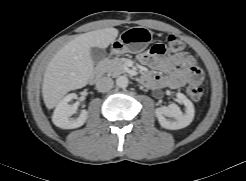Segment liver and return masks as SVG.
<instances>
[{"mask_svg": "<svg viewBox=\"0 0 246 181\" xmlns=\"http://www.w3.org/2000/svg\"><path fill=\"white\" fill-rule=\"evenodd\" d=\"M116 28H104L77 36L64 45L49 62L42 85L43 100L54 108L71 90L83 88L94 70L91 47L107 48L117 38Z\"/></svg>", "mask_w": 246, "mask_h": 181, "instance_id": "6515ba94", "label": "liver"}]
</instances>
